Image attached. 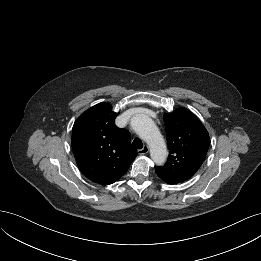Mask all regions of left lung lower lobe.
Masks as SVG:
<instances>
[{
	"instance_id": "obj_1",
	"label": "left lung lower lobe",
	"mask_w": 261,
	"mask_h": 261,
	"mask_svg": "<svg viewBox=\"0 0 261 261\" xmlns=\"http://www.w3.org/2000/svg\"><path fill=\"white\" fill-rule=\"evenodd\" d=\"M165 182H167V183H169V184H174V183H172V182H169V181H166V180H164Z\"/></svg>"
}]
</instances>
